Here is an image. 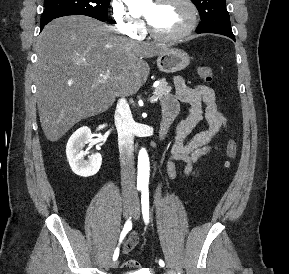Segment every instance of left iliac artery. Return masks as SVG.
Here are the masks:
<instances>
[{"instance_id": "obj_1", "label": "left iliac artery", "mask_w": 289, "mask_h": 274, "mask_svg": "<svg viewBox=\"0 0 289 274\" xmlns=\"http://www.w3.org/2000/svg\"><path fill=\"white\" fill-rule=\"evenodd\" d=\"M141 204H142L143 219L145 224L147 225L149 223V191L148 188L146 187L142 188ZM159 265L161 267H164L165 266L164 261L160 259Z\"/></svg>"}]
</instances>
